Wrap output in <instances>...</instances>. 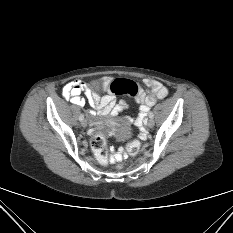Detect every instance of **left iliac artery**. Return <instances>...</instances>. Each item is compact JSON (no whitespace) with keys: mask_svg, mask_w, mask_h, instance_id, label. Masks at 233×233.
Masks as SVG:
<instances>
[{"mask_svg":"<svg viewBox=\"0 0 233 233\" xmlns=\"http://www.w3.org/2000/svg\"><path fill=\"white\" fill-rule=\"evenodd\" d=\"M148 115H149L150 118H153V116H154L151 111L148 113Z\"/></svg>","mask_w":233,"mask_h":233,"instance_id":"obj_1","label":"left iliac artery"}]
</instances>
